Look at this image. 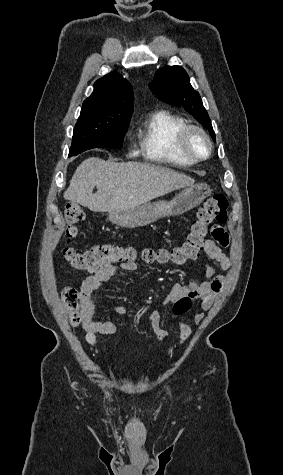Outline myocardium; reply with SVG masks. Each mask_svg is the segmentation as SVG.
<instances>
[{
  "mask_svg": "<svg viewBox=\"0 0 283 475\" xmlns=\"http://www.w3.org/2000/svg\"><path fill=\"white\" fill-rule=\"evenodd\" d=\"M192 133L199 134L207 144V152L205 155L192 154L188 149L189 137ZM172 145L182 153V157L170 154L167 151V145L162 146V158L167 162H183L190 160L192 162H201L207 160L213 152V143L207 132L196 124H188L182 128L174 137Z\"/></svg>",
  "mask_w": 283,
  "mask_h": 475,
  "instance_id": "1",
  "label": "myocardium"
}]
</instances>
